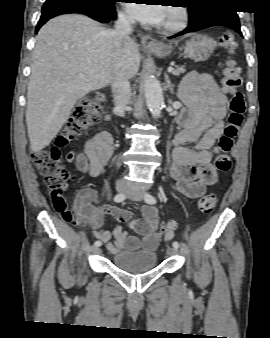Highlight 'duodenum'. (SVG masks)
Wrapping results in <instances>:
<instances>
[{"label":"duodenum","mask_w":270,"mask_h":338,"mask_svg":"<svg viewBox=\"0 0 270 338\" xmlns=\"http://www.w3.org/2000/svg\"><path fill=\"white\" fill-rule=\"evenodd\" d=\"M104 119H105V121L108 122L109 124L115 126L114 118H113L112 114L106 112V113L104 114Z\"/></svg>","instance_id":"obj_1"}]
</instances>
